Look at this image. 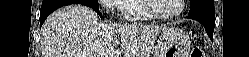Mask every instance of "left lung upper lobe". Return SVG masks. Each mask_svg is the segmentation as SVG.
<instances>
[{"label": "left lung upper lobe", "instance_id": "1", "mask_svg": "<svg viewBox=\"0 0 249 57\" xmlns=\"http://www.w3.org/2000/svg\"><path fill=\"white\" fill-rule=\"evenodd\" d=\"M190 11L188 15L214 11V0H190Z\"/></svg>", "mask_w": 249, "mask_h": 57}]
</instances>
